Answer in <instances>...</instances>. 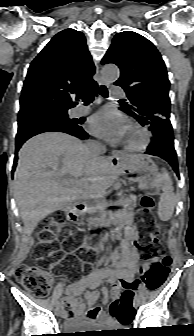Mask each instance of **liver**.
I'll return each instance as SVG.
<instances>
[{"mask_svg":"<svg viewBox=\"0 0 194 336\" xmlns=\"http://www.w3.org/2000/svg\"><path fill=\"white\" fill-rule=\"evenodd\" d=\"M121 173L113 158L90 156L73 136L50 132L32 137L19 151L14 175L25 233L31 235L43 218L77 199L105 194ZM64 175L73 179L62 180Z\"/></svg>","mask_w":194,"mask_h":336,"instance_id":"1","label":"liver"}]
</instances>
